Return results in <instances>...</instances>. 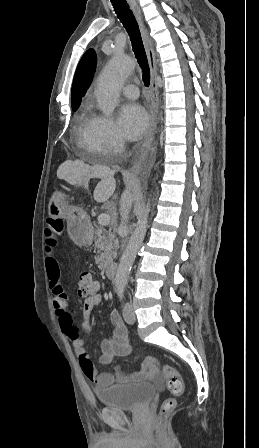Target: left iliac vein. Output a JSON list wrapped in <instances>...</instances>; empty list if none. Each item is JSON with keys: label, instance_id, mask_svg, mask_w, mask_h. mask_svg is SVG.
Segmentation results:
<instances>
[{"label": "left iliac vein", "instance_id": "4c4485c4", "mask_svg": "<svg viewBox=\"0 0 259 448\" xmlns=\"http://www.w3.org/2000/svg\"><path fill=\"white\" fill-rule=\"evenodd\" d=\"M123 317L126 323L134 324L136 321V315L133 306L130 303H126L123 308Z\"/></svg>", "mask_w": 259, "mask_h": 448}]
</instances>
